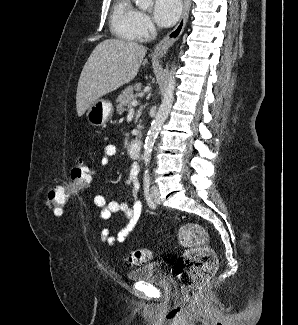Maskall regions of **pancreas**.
<instances>
[{
	"label": "pancreas",
	"mask_w": 298,
	"mask_h": 325,
	"mask_svg": "<svg viewBox=\"0 0 298 325\" xmlns=\"http://www.w3.org/2000/svg\"><path fill=\"white\" fill-rule=\"evenodd\" d=\"M142 90L141 82H137V84H133V86H126L124 90H121V94H118L115 102H116V110L118 114H122L127 110V106H132V100H136L139 92ZM142 120H139V124H137L138 130L141 128Z\"/></svg>",
	"instance_id": "cf45deb5"
}]
</instances>
